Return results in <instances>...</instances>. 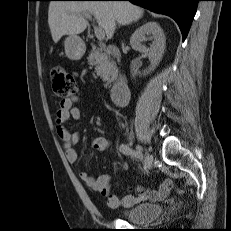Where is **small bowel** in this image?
Instances as JSON below:
<instances>
[{
	"label": "small bowel",
	"instance_id": "c3829d8e",
	"mask_svg": "<svg viewBox=\"0 0 231 231\" xmlns=\"http://www.w3.org/2000/svg\"><path fill=\"white\" fill-rule=\"evenodd\" d=\"M77 101V96L61 101L56 113V133L63 142L66 159L71 164L76 163L78 160V154L74 149V145L78 142L80 135L78 132H71L67 126V122L70 119L78 120L81 117L79 108L75 106ZM110 146V140L103 136L95 137L91 141V147L96 151L109 150ZM79 177L90 189L106 196L108 205L113 208L119 206L130 207L145 200H162L167 197L173 186V181L171 179H165L156 190H146L139 187L136 195L127 194L118 196L111 193V177L108 174L92 177L87 172L81 171L79 172Z\"/></svg>",
	"mask_w": 231,
	"mask_h": 231
}]
</instances>
